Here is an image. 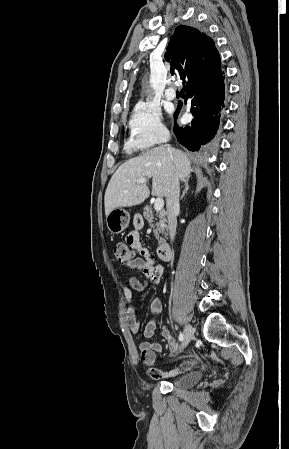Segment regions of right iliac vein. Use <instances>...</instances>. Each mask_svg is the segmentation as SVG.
Returning <instances> with one entry per match:
<instances>
[{
    "mask_svg": "<svg viewBox=\"0 0 289 449\" xmlns=\"http://www.w3.org/2000/svg\"><path fill=\"white\" fill-rule=\"evenodd\" d=\"M194 330L191 325L187 324L184 329V340L182 344V348H186L191 339L193 338Z\"/></svg>",
    "mask_w": 289,
    "mask_h": 449,
    "instance_id": "63e3f726",
    "label": "right iliac vein"
}]
</instances>
